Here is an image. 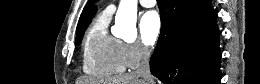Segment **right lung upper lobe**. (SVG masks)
Instances as JSON below:
<instances>
[{
  "label": "right lung upper lobe",
  "instance_id": "cb5924a9",
  "mask_svg": "<svg viewBox=\"0 0 260 84\" xmlns=\"http://www.w3.org/2000/svg\"><path fill=\"white\" fill-rule=\"evenodd\" d=\"M95 11L96 10L94 6H86L84 8L77 25V34L87 28L91 21V18L95 14Z\"/></svg>",
  "mask_w": 260,
  "mask_h": 84
}]
</instances>
